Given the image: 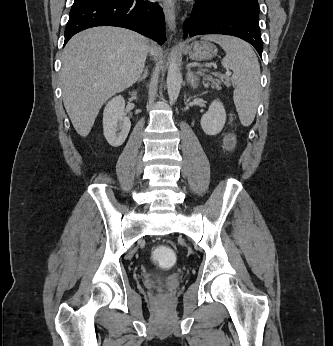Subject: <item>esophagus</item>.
Here are the masks:
<instances>
[{"instance_id": "1", "label": "esophagus", "mask_w": 333, "mask_h": 346, "mask_svg": "<svg viewBox=\"0 0 333 346\" xmlns=\"http://www.w3.org/2000/svg\"><path fill=\"white\" fill-rule=\"evenodd\" d=\"M162 8L168 27L173 31L175 29L174 2L172 0H163Z\"/></svg>"}]
</instances>
